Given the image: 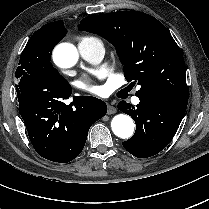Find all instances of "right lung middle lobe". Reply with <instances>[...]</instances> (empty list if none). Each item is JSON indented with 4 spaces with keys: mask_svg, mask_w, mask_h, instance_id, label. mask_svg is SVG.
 Here are the masks:
<instances>
[{
    "mask_svg": "<svg viewBox=\"0 0 209 209\" xmlns=\"http://www.w3.org/2000/svg\"><path fill=\"white\" fill-rule=\"evenodd\" d=\"M63 38L54 30H37L27 42L19 60V67L15 77L18 80L34 78L54 83L59 86H68L69 83L58 71L52 67L51 53L54 46Z\"/></svg>",
    "mask_w": 209,
    "mask_h": 209,
    "instance_id": "1",
    "label": "right lung middle lobe"
}]
</instances>
